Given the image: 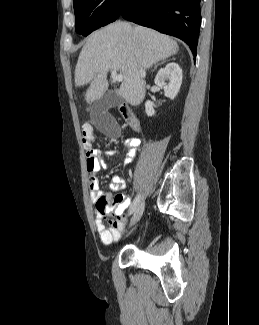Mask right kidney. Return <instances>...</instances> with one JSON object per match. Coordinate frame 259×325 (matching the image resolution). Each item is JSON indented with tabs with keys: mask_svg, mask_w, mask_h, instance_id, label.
<instances>
[{
	"mask_svg": "<svg viewBox=\"0 0 259 325\" xmlns=\"http://www.w3.org/2000/svg\"><path fill=\"white\" fill-rule=\"evenodd\" d=\"M182 69L175 62L168 63L164 68L160 69L155 77V84L164 89V95L173 100L182 84ZM166 81H169L166 83ZM145 112L151 117L155 114L154 103L150 100L145 103Z\"/></svg>",
	"mask_w": 259,
	"mask_h": 325,
	"instance_id": "ca27d5eb",
	"label": "right kidney"
}]
</instances>
